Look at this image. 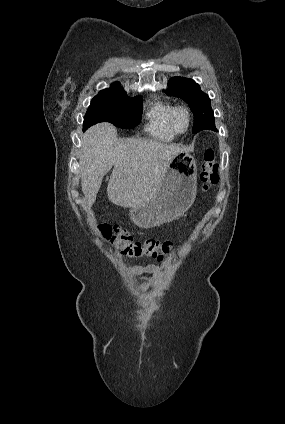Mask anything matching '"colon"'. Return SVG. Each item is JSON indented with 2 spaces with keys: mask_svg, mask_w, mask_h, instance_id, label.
Segmentation results:
<instances>
[{
  "mask_svg": "<svg viewBox=\"0 0 285 424\" xmlns=\"http://www.w3.org/2000/svg\"><path fill=\"white\" fill-rule=\"evenodd\" d=\"M218 163L212 149L204 152L203 163L200 173L202 190L209 191L219 181ZM98 230L102 236L110 241L127 258L152 257L157 260H163L175 247L169 241H160L157 239H146L136 241L122 227L111 225L107 222H101Z\"/></svg>",
  "mask_w": 285,
  "mask_h": 424,
  "instance_id": "5ec220e1",
  "label": "colon"
}]
</instances>
